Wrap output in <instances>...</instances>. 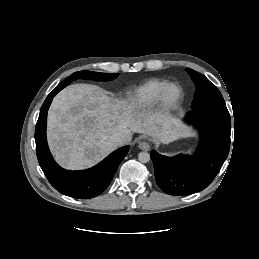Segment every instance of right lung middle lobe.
Returning <instances> with one entry per match:
<instances>
[{"instance_id":"dd1d6c3e","label":"right lung middle lobe","mask_w":259,"mask_h":259,"mask_svg":"<svg viewBox=\"0 0 259 259\" xmlns=\"http://www.w3.org/2000/svg\"><path fill=\"white\" fill-rule=\"evenodd\" d=\"M119 73H99V72H91V71H79L73 73L71 76L62 81L58 86H62L63 88L69 85L72 81L80 78L83 79H91L95 81H110L116 78Z\"/></svg>"}]
</instances>
